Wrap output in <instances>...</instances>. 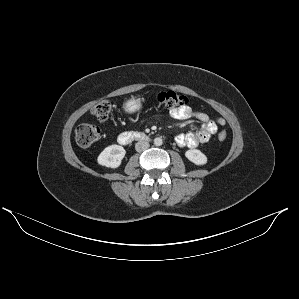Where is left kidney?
<instances>
[{
    "label": "left kidney",
    "mask_w": 299,
    "mask_h": 299,
    "mask_svg": "<svg viewBox=\"0 0 299 299\" xmlns=\"http://www.w3.org/2000/svg\"><path fill=\"white\" fill-rule=\"evenodd\" d=\"M185 156L188 158L189 161L196 165H204L207 163V157L197 149L187 150L185 152Z\"/></svg>",
    "instance_id": "obj_1"
}]
</instances>
